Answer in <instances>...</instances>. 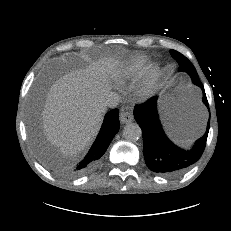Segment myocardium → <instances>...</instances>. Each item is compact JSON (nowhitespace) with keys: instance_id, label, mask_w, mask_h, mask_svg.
Wrapping results in <instances>:
<instances>
[{"instance_id":"obj_1","label":"myocardium","mask_w":231,"mask_h":231,"mask_svg":"<svg viewBox=\"0 0 231 231\" xmlns=\"http://www.w3.org/2000/svg\"><path fill=\"white\" fill-rule=\"evenodd\" d=\"M159 71L155 67L149 68L136 88V96L140 99L150 98L157 86Z\"/></svg>"}]
</instances>
